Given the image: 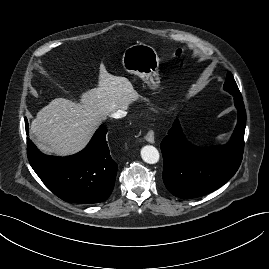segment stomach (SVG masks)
<instances>
[{"label":"stomach","mask_w":269,"mask_h":269,"mask_svg":"<svg viewBox=\"0 0 269 269\" xmlns=\"http://www.w3.org/2000/svg\"><path fill=\"white\" fill-rule=\"evenodd\" d=\"M159 61L156 50L152 46L142 43L129 46L122 56V64L128 72L138 75L154 87L160 82Z\"/></svg>","instance_id":"stomach-1"}]
</instances>
